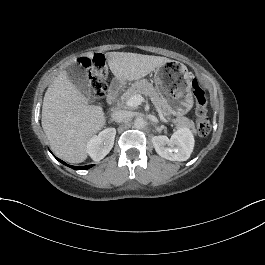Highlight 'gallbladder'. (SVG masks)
I'll list each match as a JSON object with an SVG mask.
<instances>
[{"label":"gallbladder","mask_w":265,"mask_h":265,"mask_svg":"<svg viewBox=\"0 0 265 265\" xmlns=\"http://www.w3.org/2000/svg\"><path fill=\"white\" fill-rule=\"evenodd\" d=\"M66 70L69 80L76 86V88L80 92H82L85 96L89 98V100H91L90 82L88 80L87 70L83 69L76 62H72Z\"/></svg>","instance_id":"1"}]
</instances>
